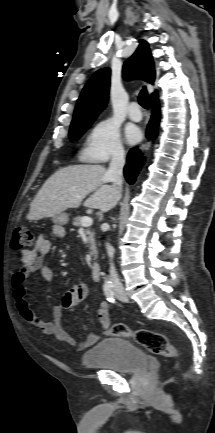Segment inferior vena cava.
<instances>
[{
  "instance_id": "1",
  "label": "inferior vena cava",
  "mask_w": 215,
  "mask_h": 433,
  "mask_svg": "<svg viewBox=\"0 0 215 433\" xmlns=\"http://www.w3.org/2000/svg\"><path fill=\"white\" fill-rule=\"evenodd\" d=\"M125 165V157L124 150L117 149L112 156L109 169L106 173V178L109 182H113V184L121 186L123 182V167ZM106 249L110 261L113 259L114 249L110 244H106ZM110 280L112 281V287L115 292H122L123 285L121 284L118 275L116 273L114 264L110 263Z\"/></svg>"
}]
</instances>
